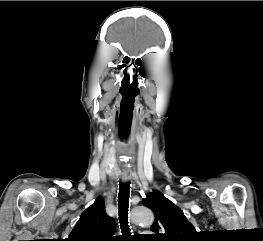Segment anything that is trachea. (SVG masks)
I'll use <instances>...</instances> for the list:
<instances>
[{
  "label": "trachea",
  "instance_id": "trachea-1",
  "mask_svg": "<svg viewBox=\"0 0 263 241\" xmlns=\"http://www.w3.org/2000/svg\"><path fill=\"white\" fill-rule=\"evenodd\" d=\"M130 197V182L119 184L118 206H119V223L123 236L121 239H128L130 235V228L128 225V208Z\"/></svg>",
  "mask_w": 263,
  "mask_h": 241
}]
</instances>
